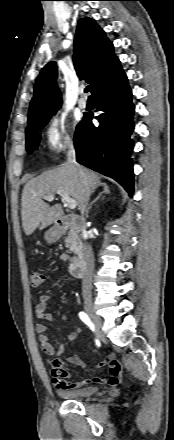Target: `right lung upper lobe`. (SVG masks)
Returning a JSON list of instances; mask_svg holds the SVG:
<instances>
[{
  "mask_svg": "<svg viewBox=\"0 0 174 440\" xmlns=\"http://www.w3.org/2000/svg\"><path fill=\"white\" fill-rule=\"evenodd\" d=\"M113 48L105 32L93 19L85 17L79 20L74 40V65L79 78H85L91 85L92 93L110 70L120 62ZM56 78V63L49 62L36 79L34 96L29 108L28 127L50 119L61 105Z\"/></svg>",
  "mask_w": 174,
  "mask_h": 440,
  "instance_id": "cb5924a9",
  "label": "right lung upper lobe"
}]
</instances>
